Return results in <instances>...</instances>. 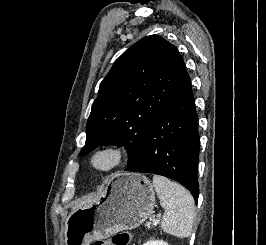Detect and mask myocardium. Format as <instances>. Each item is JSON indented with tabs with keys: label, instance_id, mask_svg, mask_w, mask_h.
<instances>
[{
	"label": "myocardium",
	"instance_id": "f54148a6",
	"mask_svg": "<svg viewBox=\"0 0 266 245\" xmlns=\"http://www.w3.org/2000/svg\"><path fill=\"white\" fill-rule=\"evenodd\" d=\"M109 154L112 161L108 166H99L97 159L104 155ZM126 161L125 149L118 144H106L94 149L88 157V168L95 174L100 176L110 175L119 170Z\"/></svg>",
	"mask_w": 266,
	"mask_h": 245
}]
</instances>
